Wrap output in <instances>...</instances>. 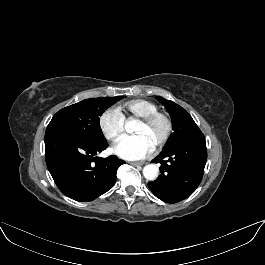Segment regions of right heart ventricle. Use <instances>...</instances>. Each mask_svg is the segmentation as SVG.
I'll list each match as a JSON object with an SVG mask.
<instances>
[{
	"label": "right heart ventricle",
	"mask_w": 265,
	"mask_h": 265,
	"mask_svg": "<svg viewBox=\"0 0 265 265\" xmlns=\"http://www.w3.org/2000/svg\"><path fill=\"white\" fill-rule=\"evenodd\" d=\"M118 111L123 119L127 117L141 118L158 111V106L146 99H134L120 105Z\"/></svg>",
	"instance_id": "1"
}]
</instances>
